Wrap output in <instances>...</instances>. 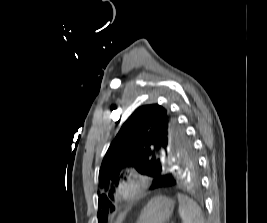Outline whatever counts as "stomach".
Wrapping results in <instances>:
<instances>
[{
    "mask_svg": "<svg viewBox=\"0 0 267 223\" xmlns=\"http://www.w3.org/2000/svg\"><path fill=\"white\" fill-rule=\"evenodd\" d=\"M174 209V201L165 196L151 199L143 208L137 223H166Z\"/></svg>",
    "mask_w": 267,
    "mask_h": 223,
    "instance_id": "0dacf381",
    "label": "stomach"
}]
</instances>
